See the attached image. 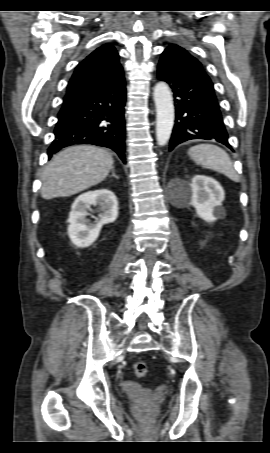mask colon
I'll list each match as a JSON object with an SVG mask.
<instances>
[{"label": "colon", "mask_w": 270, "mask_h": 453, "mask_svg": "<svg viewBox=\"0 0 270 453\" xmlns=\"http://www.w3.org/2000/svg\"><path fill=\"white\" fill-rule=\"evenodd\" d=\"M133 372L139 378L145 377L148 373V365L144 361H137L133 365ZM144 421H150L149 414L144 417Z\"/></svg>", "instance_id": "colon-1"}]
</instances>
